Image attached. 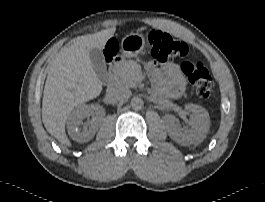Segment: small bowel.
I'll return each mask as SVG.
<instances>
[{
  "label": "small bowel",
  "instance_id": "c3829d8e",
  "mask_svg": "<svg viewBox=\"0 0 265 202\" xmlns=\"http://www.w3.org/2000/svg\"><path fill=\"white\" fill-rule=\"evenodd\" d=\"M144 68L152 81L154 93L179 96L183 91L184 77L176 63L158 64L154 61L144 62Z\"/></svg>",
  "mask_w": 265,
  "mask_h": 202
}]
</instances>
